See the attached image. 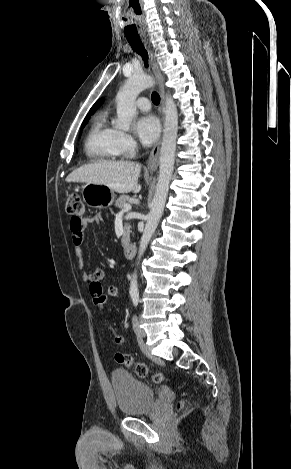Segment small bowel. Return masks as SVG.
Wrapping results in <instances>:
<instances>
[{"mask_svg":"<svg viewBox=\"0 0 291 469\" xmlns=\"http://www.w3.org/2000/svg\"><path fill=\"white\" fill-rule=\"evenodd\" d=\"M101 220V216L96 215L89 218H71L70 220V231H71V238L74 244V250L77 257V265L79 268H83L84 260H83V251H82V243L84 240V232L86 227L90 223H98ZM85 279L89 283V290L91 296L94 298L99 293H103L101 281L105 278L106 273L102 268L96 267L93 269L92 272L85 273ZM94 287H98L100 292H96L93 290ZM108 296L112 298H116L119 296V288L117 286H110L108 288Z\"/></svg>","mask_w":291,"mask_h":469,"instance_id":"1","label":"small bowel"}]
</instances>
